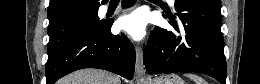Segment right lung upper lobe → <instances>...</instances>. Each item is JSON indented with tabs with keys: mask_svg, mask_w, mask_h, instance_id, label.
<instances>
[{
	"mask_svg": "<svg viewBox=\"0 0 260 84\" xmlns=\"http://www.w3.org/2000/svg\"><path fill=\"white\" fill-rule=\"evenodd\" d=\"M99 0H50L48 28L59 26L82 15L98 12Z\"/></svg>",
	"mask_w": 260,
	"mask_h": 84,
	"instance_id": "obj_1",
	"label": "right lung upper lobe"
}]
</instances>
